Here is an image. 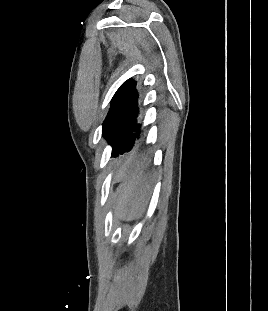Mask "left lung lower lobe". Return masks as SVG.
<instances>
[{
  "instance_id": "left-lung-lower-lobe-1",
  "label": "left lung lower lobe",
  "mask_w": 268,
  "mask_h": 311,
  "mask_svg": "<svg viewBox=\"0 0 268 311\" xmlns=\"http://www.w3.org/2000/svg\"><path fill=\"white\" fill-rule=\"evenodd\" d=\"M141 110L139 93L135 86L118 117L117 129L109 143L112 156L129 152L144 136Z\"/></svg>"
}]
</instances>
